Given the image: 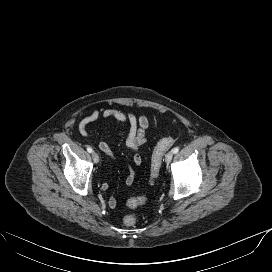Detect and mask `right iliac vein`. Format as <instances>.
Masks as SVG:
<instances>
[{"label":"right iliac vein","mask_w":272,"mask_h":272,"mask_svg":"<svg viewBox=\"0 0 272 272\" xmlns=\"http://www.w3.org/2000/svg\"><path fill=\"white\" fill-rule=\"evenodd\" d=\"M92 158L95 163L99 162V155L96 152H92Z\"/></svg>","instance_id":"1"}]
</instances>
